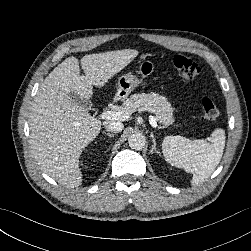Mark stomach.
<instances>
[{"instance_id": "0dacf381", "label": "stomach", "mask_w": 251, "mask_h": 251, "mask_svg": "<svg viewBox=\"0 0 251 251\" xmlns=\"http://www.w3.org/2000/svg\"><path fill=\"white\" fill-rule=\"evenodd\" d=\"M154 70V64L152 61L144 60L140 63L139 72L144 76H148ZM139 84V80L136 76L132 74L122 75L117 82V97L124 99L126 98Z\"/></svg>"}]
</instances>
